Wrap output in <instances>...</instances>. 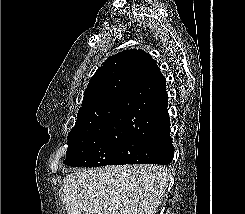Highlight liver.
I'll return each instance as SVG.
<instances>
[{
  "instance_id": "obj_1",
  "label": "liver",
  "mask_w": 245,
  "mask_h": 214,
  "mask_svg": "<svg viewBox=\"0 0 245 214\" xmlns=\"http://www.w3.org/2000/svg\"><path fill=\"white\" fill-rule=\"evenodd\" d=\"M170 176L158 165L78 169L63 180L64 209L67 214H154Z\"/></svg>"
}]
</instances>
